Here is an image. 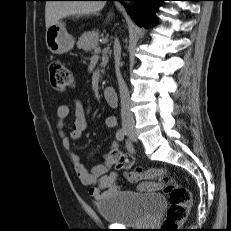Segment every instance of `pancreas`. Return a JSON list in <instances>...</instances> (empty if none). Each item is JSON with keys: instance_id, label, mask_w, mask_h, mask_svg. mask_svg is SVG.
Masks as SVG:
<instances>
[{"instance_id": "1", "label": "pancreas", "mask_w": 231, "mask_h": 231, "mask_svg": "<svg viewBox=\"0 0 231 231\" xmlns=\"http://www.w3.org/2000/svg\"><path fill=\"white\" fill-rule=\"evenodd\" d=\"M98 40H99V35L97 32L87 31V32H84L78 39L77 47L87 52L92 51L93 49L95 51V49L99 48ZM107 62H108L107 51H105L103 53L101 66L105 67Z\"/></svg>"}]
</instances>
